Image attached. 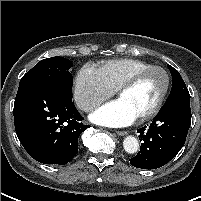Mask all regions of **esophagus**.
Here are the masks:
<instances>
[{
  "mask_svg": "<svg viewBox=\"0 0 201 201\" xmlns=\"http://www.w3.org/2000/svg\"><path fill=\"white\" fill-rule=\"evenodd\" d=\"M116 134L119 135V136H125V135L128 134V132L127 131H121V130L119 131L118 130V131H116Z\"/></svg>",
  "mask_w": 201,
  "mask_h": 201,
  "instance_id": "1",
  "label": "esophagus"
}]
</instances>
